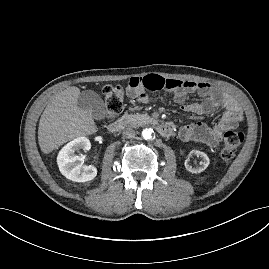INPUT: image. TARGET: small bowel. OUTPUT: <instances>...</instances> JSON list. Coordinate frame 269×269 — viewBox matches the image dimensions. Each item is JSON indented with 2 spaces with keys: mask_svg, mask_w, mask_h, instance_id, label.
I'll list each match as a JSON object with an SVG mask.
<instances>
[{
  "mask_svg": "<svg viewBox=\"0 0 269 269\" xmlns=\"http://www.w3.org/2000/svg\"><path fill=\"white\" fill-rule=\"evenodd\" d=\"M147 91L173 92L175 101L181 105L185 112L197 115L210 114L218 108L224 110L218 123L213 127L201 122H194L182 127L179 131V137L186 142L194 141L208 146H216L226 131L236 128L243 120L242 110L238 103L208 83L166 79L158 75L130 79L127 93L131 98L147 103L151 100ZM190 93H197L203 98V101L186 103V97Z\"/></svg>",
  "mask_w": 269,
  "mask_h": 269,
  "instance_id": "c3829d8e",
  "label": "small bowel"
}]
</instances>
